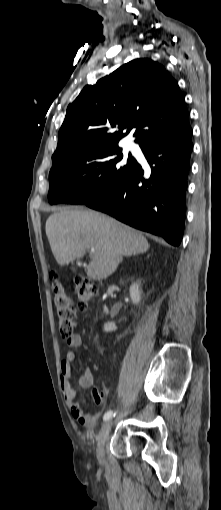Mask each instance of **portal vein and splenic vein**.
<instances>
[{"label":"portal vein and splenic vein","mask_w":221,"mask_h":510,"mask_svg":"<svg viewBox=\"0 0 221 510\" xmlns=\"http://www.w3.org/2000/svg\"><path fill=\"white\" fill-rule=\"evenodd\" d=\"M95 250L94 249H91V252H94Z\"/></svg>","instance_id":"18ae733b"}]
</instances>
